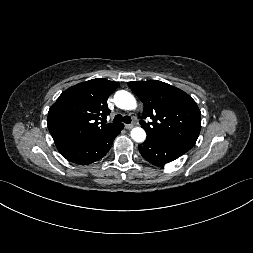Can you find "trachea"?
<instances>
[{
  "mask_svg": "<svg viewBox=\"0 0 253 253\" xmlns=\"http://www.w3.org/2000/svg\"><path fill=\"white\" fill-rule=\"evenodd\" d=\"M114 123H120V122H124L126 124H130L131 123V117L130 116H122L120 114L116 115L113 119Z\"/></svg>",
  "mask_w": 253,
  "mask_h": 253,
  "instance_id": "obj_1",
  "label": "trachea"
}]
</instances>
